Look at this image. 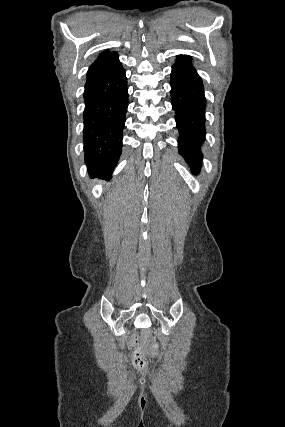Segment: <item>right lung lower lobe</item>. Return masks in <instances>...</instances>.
Returning a JSON list of instances; mask_svg holds the SVG:
<instances>
[{"label": "right lung lower lobe", "instance_id": "obj_1", "mask_svg": "<svg viewBox=\"0 0 285 427\" xmlns=\"http://www.w3.org/2000/svg\"><path fill=\"white\" fill-rule=\"evenodd\" d=\"M84 150L89 175L110 179L121 155L128 106L125 71L86 83Z\"/></svg>", "mask_w": 285, "mask_h": 427}]
</instances>
